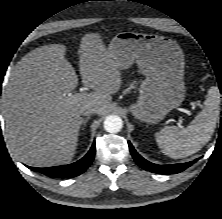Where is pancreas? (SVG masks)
I'll return each mask as SVG.
<instances>
[{"mask_svg":"<svg viewBox=\"0 0 222 219\" xmlns=\"http://www.w3.org/2000/svg\"><path fill=\"white\" fill-rule=\"evenodd\" d=\"M132 88H134V84H131L129 87V89H132Z\"/></svg>","mask_w":222,"mask_h":219,"instance_id":"1","label":"pancreas"}]
</instances>
